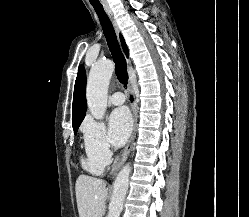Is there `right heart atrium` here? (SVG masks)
I'll list each match as a JSON object with an SVG mask.
<instances>
[{
  "instance_id": "d8ad5b80",
  "label": "right heart atrium",
  "mask_w": 249,
  "mask_h": 217,
  "mask_svg": "<svg viewBox=\"0 0 249 217\" xmlns=\"http://www.w3.org/2000/svg\"><path fill=\"white\" fill-rule=\"evenodd\" d=\"M82 132L88 157L103 167L108 165L112 149L104 123L88 117L82 125Z\"/></svg>"
}]
</instances>
